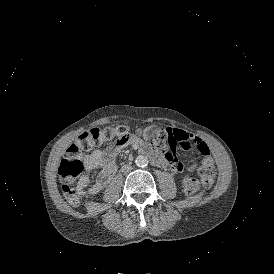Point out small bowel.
<instances>
[{"mask_svg":"<svg viewBox=\"0 0 274 274\" xmlns=\"http://www.w3.org/2000/svg\"><path fill=\"white\" fill-rule=\"evenodd\" d=\"M171 140L168 144L169 148L166 149L165 153L169 156V160L165 157L160 151L149 147L145 142L136 136H129L127 141L123 144H119L114 147H109L105 150H94L84 157L85 173L82 174L77 182V190L81 195H97L99 194L105 186L109 183L113 175L117 171L116 157L120 149L123 146L129 145L135 147L139 150L140 153L150 152V159L153 164L159 168H169L175 173L182 172L185 167L183 164L177 163V157L173 151L176 148L182 150L189 149L192 145L197 146L198 150L200 149L201 156L203 159H208L210 156L208 147L204 141L196 137L193 134H190L187 131L181 129H172L170 132ZM190 160L196 159L195 153L189 154ZM217 166V161L214 158H209L205 164H200L196 168V173L203 178V180L208 185H213L216 182V177L211 173L209 169H214ZM193 165L186 167L187 170H193ZM209 168V169H208ZM99 169V173L96 176V179L92 185L89 186V176L88 173Z\"/></svg>","mask_w":274,"mask_h":274,"instance_id":"c3829d8e","label":"small bowel"}]
</instances>
